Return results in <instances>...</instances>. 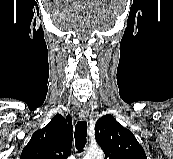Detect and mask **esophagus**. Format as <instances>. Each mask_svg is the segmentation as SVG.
<instances>
[{"label": "esophagus", "mask_w": 173, "mask_h": 159, "mask_svg": "<svg viewBox=\"0 0 173 159\" xmlns=\"http://www.w3.org/2000/svg\"><path fill=\"white\" fill-rule=\"evenodd\" d=\"M89 111L86 108H81L79 112V117L81 120L85 121L88 119Z\"/></svg>", "instance_id": "34e87169"}]
</instances>
